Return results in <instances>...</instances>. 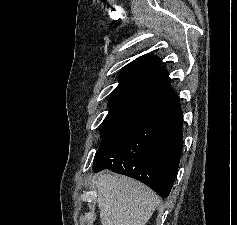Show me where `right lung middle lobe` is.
I'll list each match as a JSON object with an SVG mask.
<instances>
[{"instance_id": "obj_1", "label": "right lung middle lobe", "mask_w": 237, "mask_h": 225, "mask_svg": "<svg viewBox=\"0 0 237 225\" xmlns=\"http://www.w3.org/2000/svg\"><path fill=\"white\" fill-rule=\"evenodd\" d=\"M122 122L119 121H104L103 129L101 131V139L102 141L115 129L121 126Z\"/></svg>"}]
</instances>
